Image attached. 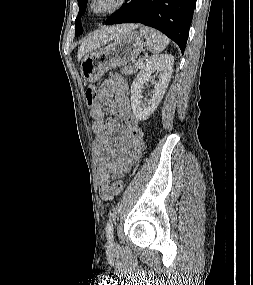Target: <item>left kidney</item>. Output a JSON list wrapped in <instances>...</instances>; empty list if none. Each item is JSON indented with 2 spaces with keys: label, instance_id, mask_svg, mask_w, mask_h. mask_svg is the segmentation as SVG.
Masks as SVG:
<instances>
[{
  "label": "left kidney",
  "instance_id": "left-kidney-1",
  "mask_svg": "<svg viewBox=\"0 0 253 285\" xmlns=\"http://www.w3.org/2000/svg\"><path fill=\"white\" fill-rule=\"evenodd\" d=\"M173 64L172 55L161 54L150 57L141 67L131 86V107L138 120H147L161 102L171 79ZM154 72L159 73V80L152 81L153 96L143 104L141 100L143 84L151 79Z\"/></svg>",
  "mask_w": 253,
  "mask_h": 285
}]
</instances>
